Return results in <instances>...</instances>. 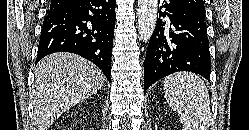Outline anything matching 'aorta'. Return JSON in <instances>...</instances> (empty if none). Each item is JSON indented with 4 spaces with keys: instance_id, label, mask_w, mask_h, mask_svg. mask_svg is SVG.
Segmentation results:
<instances>
[{
    "instance_id": "1",
    "label": "aorta",
    "mask_w": 249,
    "mask_h": 130,
    "mask_svg": "<svg viewBox=\"0 0 249 130\" xmlns=\"http://www.w3.org/2000/svg\"><path fill=\"white\" fill-rule=\"evenodd\" d=\"M157 13V0H138V32L143 42H148L154 32Z\"/></svg>"
}]
</instances>
